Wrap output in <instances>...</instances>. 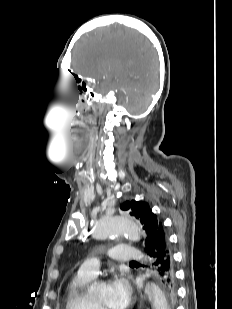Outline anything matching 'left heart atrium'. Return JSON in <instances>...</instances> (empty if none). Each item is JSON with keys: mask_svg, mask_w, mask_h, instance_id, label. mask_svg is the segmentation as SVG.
<instances>
[{"mask_svg": "<svg viewBox=\"0 0 232 309\" xmlns=\"http://www.w3.org/2000/svg\"><path fill=\"white\" fill-rule=\"evenodd\" d=\"M112 302L116 309L126 308L132 297V289L129 283L122 279L116 278L111 283Z\"/></svg>", "mask_w": 232, "mask_h": 309, "instance_id": "obj_1", "label": "left heart atrium"}]
</instances>
